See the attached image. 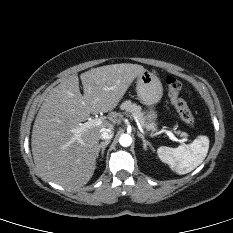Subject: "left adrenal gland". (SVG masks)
<instances>
[{"label": "left adrenal gland", "mask_w": 233, "mask_h": 233, "mask_svg": "<svg viewBox=\"0 0 233 233\" xmlns=\"http://www.w3.org/2000/svg\"><path fill=\"white\" fill-rule=\"evenodd\" d=\"M137 135L142 139V141H143V148H144V150H147V146H149V147H151L152 148V146H151V143L149 142V141H147L146 139H145V137L140 133V132H137Z\"/></svg>", "instance_id": "1"}]
</instances>
